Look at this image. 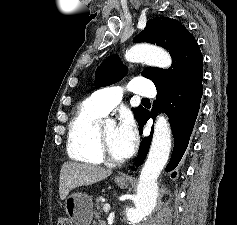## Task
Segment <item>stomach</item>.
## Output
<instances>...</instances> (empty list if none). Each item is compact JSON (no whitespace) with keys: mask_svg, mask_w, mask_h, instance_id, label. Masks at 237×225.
<instances>
[{"mask_svg":"<svg viewBox=\"0 0 237 225\" xmlns=\"http://www.w3.org/2000/svg\"><path fill=\"white\" fill-rule=\"evenodd\" d=\"M115 183L120 188H127L129 179L116 177ZM65 210L75 225H90L93 217L92 198L85 193L72 194L66 199Z\"/></svg>","mask_w":237,"mask_h":225,"instance_id":"obj_1","label":"stomach"}]
</instances>
